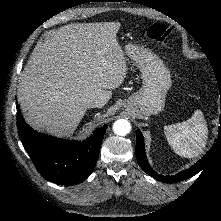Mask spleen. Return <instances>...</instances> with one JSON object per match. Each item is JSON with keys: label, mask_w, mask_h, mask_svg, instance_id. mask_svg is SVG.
<instances>
[{"label": "spleen", "mask_w": 221, "mask_h": 221, "mask_svg": "<svg viewBox=\"0 0 221 221\" xmlns=\"http://www.w3.org/2000/svg\"><path fill=\"white\" fill-rule=\"evenodd\" d=\"M164 133L175 153L187 158L198 156L208 138V128L201 110H196L187 121L166 125Z\"/></svg>", "instance_id": "spleen-1"}]
</instances>
